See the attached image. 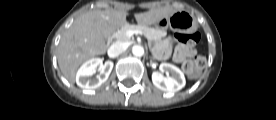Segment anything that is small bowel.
I'll return each instance as SVG.
<instances>
[{"label": "small bowel", "mask_w": 276, "mask_h": 120, "mask_svg": "<svg viewBox=\"0 0 276 120\" xmlns=\"http://www.w3.org/2000/svg\"><path fill=\"white\" fill-rule=\"evenodd\" d=\"M195 54V50L193 48V45H179L174 53V60L176 62H182L187 57H190Z\"/></svg>", "instance_id": "c3829d8e"}]
</instances>
